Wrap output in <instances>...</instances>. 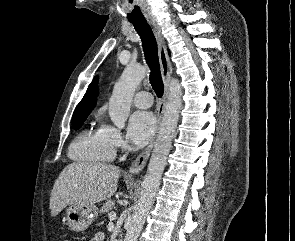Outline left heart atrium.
I'll list each match as a JSON object with an SVG mask.
<instances>
[{
  "label": "left heart atrium",
  "mask_w": 295,
  "mask_h": 241,
  "mask_svg": "<svg viewBox=\"0 0 295 241\" xmlns=\"http://www.w3.org/2000/svg\"><path fill=\"white\" fill-rule=\"evenodd\" d=\"M156 127V120L152 113L137 111L129 119L127 135L129 140L136 146L146 145Z\"/></svg>",
  "instance_id": "obj_1"
}]
</instances>
